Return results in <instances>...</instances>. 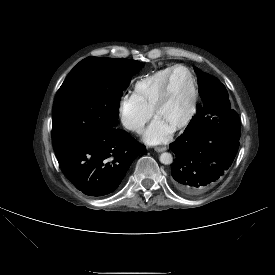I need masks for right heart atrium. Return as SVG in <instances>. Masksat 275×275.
<instances>
[{
	"label": "right heart atrium",
	"instance_id": "d8ad5b80",
	"mask_svg": "<svg viewBox=\"0 0 275 275\" xmlns=\"http://www.w3.org/2000/svg\"><path fill=\"white\" fill-rule=\"evenodd\" d=\"M152 113V110L141 105L133 95H124L119 100L118 118L127 131L141 133Z\"/></svg>",
	"mask_w": 275,
	"mask_h": 275
}]
</instances>
